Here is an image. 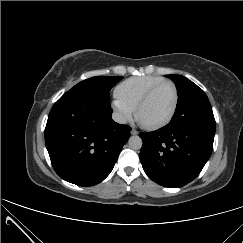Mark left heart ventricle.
I'll use <instances>...</instances> for the list:
<instances>
[{
  "label": "left heart ventricle",
  "instance_id": "b2bd125f",
  "mask_svg": "<svg viewBox=\"0 0 243 243\" xmlns=\"http://www.w3.org/2000/svg\"><path fill=\"white\" fill-rule=\"evenodd\" d=\"M174 103V92L170 85L157 89L138 115L143 124H155L163 121L170 114Z\"/></svg>",
  "mask_w": 243,
  "mask_h": 243
}]
</instances>
